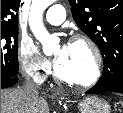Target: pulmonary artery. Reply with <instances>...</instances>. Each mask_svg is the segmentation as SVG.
I'll use <instances>...</instances> for the list:
<instances>
[{
    "label": "pulmonary artery",
    "mask_w": 123,
    "mask_h": 113,
    "mask_svg": "<svg viewBox=\"0 0 123 113\" xmlns=\"http://www.w3.org/2000/svg\"><path fill=\"white\" fill-rule=\"evenodd\" d=\"M66 18V12L62 5H52L45 14V20L53 25L61 24Z\"/></svg>",
    "instance_id": "1"
}]
</instances>
